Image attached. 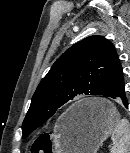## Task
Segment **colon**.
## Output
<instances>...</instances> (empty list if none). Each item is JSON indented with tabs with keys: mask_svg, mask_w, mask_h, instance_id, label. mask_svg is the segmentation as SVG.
<instances>
[{
	"mask_svg": "<svg viewBox=\"0 0 130 153\" xmlns=\"http://www.w3.org/2000/svg\"><path fill=\"white\" fill-rule=\"evenodd\" d=\"M52 141L48 134L39 136L32 147V151L35 153H51Z\"/></svg>",
	"mask_w": 130,
	"mask_h": 153,
	"instance_id": "5ec220e1",
	"label": "colon"
}]
</instances>
